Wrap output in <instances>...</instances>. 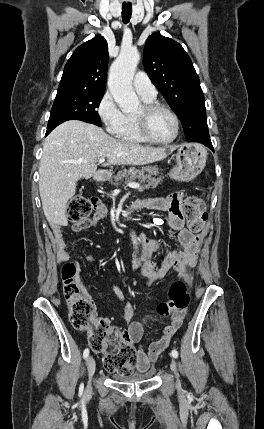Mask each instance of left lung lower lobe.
<instances>
[{
  "label": "left lung lower lobe",
  "mask_w": 264,
  "mask_h": 429,
  "mask_svg": "<svg viewBox=\"0 0 264 429\" xmlns=\"http://www.w3.org/2000/svg\"><path fill=\"white\" fill-rule=\"evenodd\" d=\"M199 143L204 144L205 146L209 147L212 151H214L211 140H200Z\"/></svg>",
  "instance_id": "obj_1"
}]
</instances>
